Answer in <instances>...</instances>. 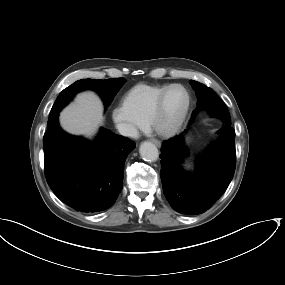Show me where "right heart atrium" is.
Listing matches in <instances>:
<instances>
[{
  "label": "right heart atrium",
  "mask_w": 285,
  "mask_h": 285,
  "mask_svg": "<svg viewBox=\"0 0 285 285\" xmlns=\"http://www.w3.org/2000/svg\"><path fill=\"white\" fill-rule=\"evenodd\" d=\"M111 119L117 132L128 138L135 137L145 123L137 119L130 108L121 102L111 110Z\"/></svg>",
  "instance_id": "d8ad5b80"
}]
</instances>
